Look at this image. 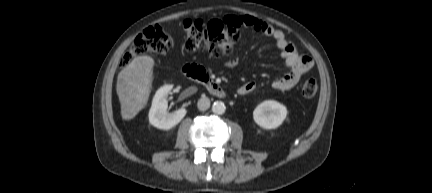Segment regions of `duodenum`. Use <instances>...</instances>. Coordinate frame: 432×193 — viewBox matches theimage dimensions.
I'll list each match as a JSON object with an SVG mask.
<instances>
[{"label": "duodenum", "mask_w": 432, "mask_h": 193, "mask_svg": "<svg viewBox=\"0 0 432 193\" xmlns=\"http://www.w3.org/2000/svg\"><path fill=\"white\" fill-rule=\"evenodd\" d=\"M182 73L190 80L198 81L202 83L208 92L217 98H224L226 96L225 89L213 81L207 71L197 65H185L182 68Z\"/></svg>", "instance_id": "410a0bca"}]
</instances>
